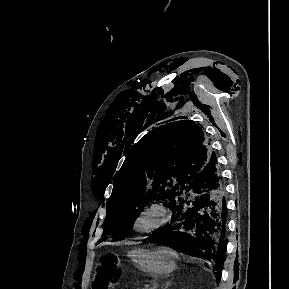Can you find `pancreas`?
<instances>
[{
  "label": "pancreas",
  "instance_id": "pancreas-1",
  "mask_svg": "<svg viewBox=\"0 0 289 289\" xmlns=\"http://www.w3.org/2000/svg\"><path fill=\"white\" fill-rule=\"evenodd\" d=\"M144 289H155L154 285L151 286V285H145V288ZM157 289V288H156Z\"/></svg>",
  "mask_w": 289,
  "mask_h": 289
}]
</instances>
